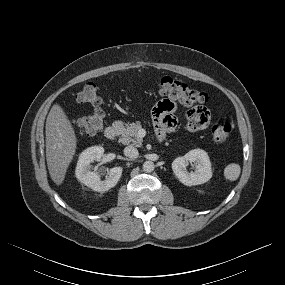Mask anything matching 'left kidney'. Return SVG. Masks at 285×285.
I'll list each match as a JSON object with an SVG mask.
<instances>
[{"mask_svg": "<svg viewBox=\"0 0 285 285\" xmlns=\"http://www.w3.org/2000/svg\"><path fill=\"white\" fill-rule=\"evenodd\" d=\"M195 163V172H188V163ZM172 170L179 181L186 186L199 185L212 177L211 162L208 154L202 149H194L172 162Z\"/></svg>", "mask_w": 285, "mask_h": 285, "instance_id": "left-kidney-1", "label": "left kidney"}]
</instances>
